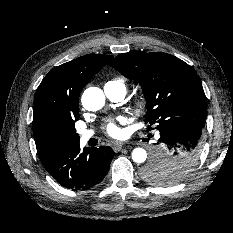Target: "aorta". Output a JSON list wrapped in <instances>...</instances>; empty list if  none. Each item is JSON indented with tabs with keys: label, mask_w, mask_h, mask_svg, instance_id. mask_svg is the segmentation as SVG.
Returning a JSON list of instances; mask_svg holds the SVG:
<instances>
[{
	"label": "aorta",
	"mask_w": 233,
	"mask_h": 233,
	"mask_svg": "<svg viewBox=\"0 0 233 233\" xmlns=\"http://www.w3.org/2000/svg\"><path fill=\"white\" fill-rule=\"evenodd\" d=\"M83 107L88 111H98L105 104V95L97 87L87 88L81 98ZM132 159L136 163H143L147 159V152L143 148H135L132 151Z\"/></svg>",
	"instance_id": "aorta-1"
}]
</instances>
